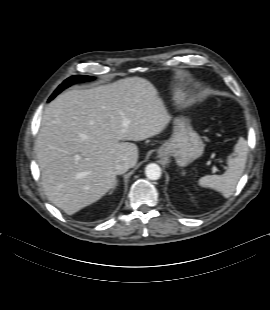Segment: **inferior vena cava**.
Wrapping results in <instances>:
<instances>
[{
    "label": "inferior vena cava",
    "instance_id": "602c4592",
    "mask_svg": "<svg viewBox=\"0 0 270 310\" xmlns=\"http://www.w3.org/2000/svg\"><path fill=\"white\" fill-rule=\"evenodd\" d=\"M130 163L126 158H123L114 165V171L117 175L125 173L130 168Z\"/></svg>",
    "mask_w": 270,
    "mask_h": 310
}]
</instances>
